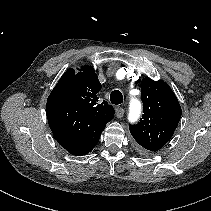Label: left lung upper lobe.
Returning a JSON list of instances; mask_svg holds the SVG:
<instances>
[{
	"mask_svg": "<svg viewBox=\"0 0 211 211\" xmlns=\"http://www.w3.org/2000/svg\"><path fill=\"white\" fill-rule=\"evenodd\" d=\"M141 94L144 114L139 123L129 126L130 133L140 149L156 152L173 136L181 118V107L163 80L145 77L141 81Z\"/></svg>",
	"mask_w": 211,
	"mask_h": 211,
	"instance_id": "obj_1",
	"label": "left lung upper lobe"
}]
</instances>
